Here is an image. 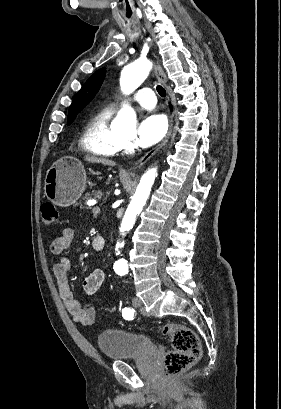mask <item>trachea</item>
<instances>
[{
    "instance_id": "trachea-1",
    "label": "trachea",
    "mask_w": 281,
    "mask_h": 409,
    "mask_svg": "<svg viewBox=\"0 0 281 409\" xmlns=\"http://www.w3.org/2000/svg\"><path fill=\"white\" fill-rule=\"evenodd\" d=\"M156 90L161 97L166 96V90L161 85H157Z\"/></svg>"
}]
</instances>
